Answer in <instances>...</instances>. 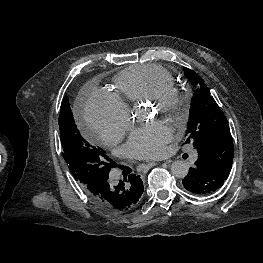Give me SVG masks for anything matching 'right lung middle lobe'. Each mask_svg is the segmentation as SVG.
<instances>
[{"mask_svg":"<svg viewBox=\"0 0 263 263\" xmlns=\"http://www.w3.org/2000/svg\"><path fill=\"white\" fill-rule=\"evenodd\" d=\"M58 120L63 157L75 180L84 187L91 182L107 179L114 164L101 148L81 135L67 96L62 100Z\"/></svg>","mask_w":263,"mask_h":263,"instance_id":"dd1d6c3e","label":"right lung middle lobe"}]
</instances>
